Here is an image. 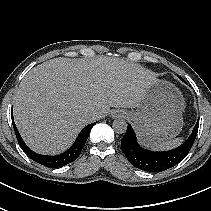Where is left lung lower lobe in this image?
<instances>
[{
    "mask_svg": "<svg viewBox=\"0 0 211 211\" xmlns=\"http://www.w3.org/2000/svg\"><path fill=\"white\" fill-rule=\"evenodd\" d=\"M179 78L184 81L183 78ZM197 132L198 122L189 138L182 145L169 151L154 152L139 146L135 132L131 125L128 124L127 131L121 140V148L128 161L136 168L147 172H162L177 165L187 156L195 141Z\"/></svg>",
    "mask_w": 211,
    "mask_h": 211,
    "instance_id": "0a47b994",
    "label": "left lung lower lobe"
}]
</instances>
